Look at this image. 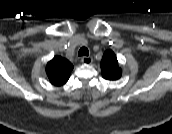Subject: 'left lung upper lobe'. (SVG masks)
Segmentation results:
<instances>
[{
	"label": "left lung upper lobe",
	"mask_w": 172,
	"mask_h": 134,
	"mask_svg": "<svg viewBox=\"0 0 172 134\" xmlns=\"http://www.w3.org/2000/svg\"><path fill=\"white\" fill-rule=\"evenodd\" d=\"M100 66L102 76L107 80H117L122 75V70L118 65L117 57L111 50H107L104 53Z\"/></svg>",
	"instance_id": "obj_1"
}]
</instances>
